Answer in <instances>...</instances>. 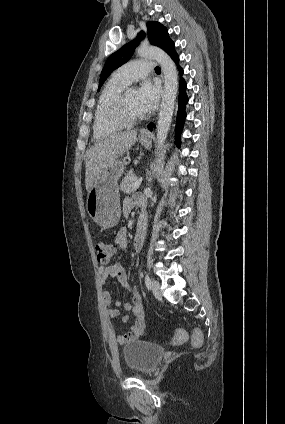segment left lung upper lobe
<instances>
[{"label":"left lung upper lobe","instance_id":"left-lung-upper-lobe-1","mask_svg":"<svg viewBox=\"0 0 285 424\" xmlns=\"http://www.w3.org/2000/svg\"><path fill=\"white\" fill-rule=\"evenodd\" d=\"M147 30L151 44L162 48L164 51H166L173 43L168 36L167 29L159 22L149 21L147 23ZM144 36L145 33L140 32L136 40L125 44L108 58L101 72L98 90H100L104 81L116 68L120 67L131 58L140 39Z\"/></svg>","mask_w":285,"mask_h":424}]
</instances>
